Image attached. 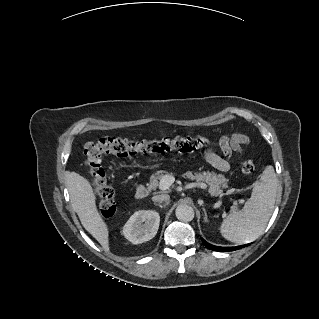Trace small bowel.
<instances>
[{
  "mask_svg": "<svg viewBox=\"0 0 319 319\" xmlns=\"http://www.w3.org/2000/svg\"><path fill=\"white\" fill-rule=\"evenodd\" d=\"M245 143H247V138L242 134L224 137L220 141V146L225 154V157L223 158L219 156L213 150H206L204 152L205 161L214 169L221 172H227L231 167L233 154L240 153L242 146Z\"/></svg>",
  "mask_w": 319,
  "mask_h": 319,
  "instance_id": "c3829d8e",
  "label": "small bowel"
}]
</instances>
